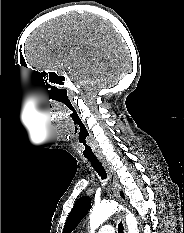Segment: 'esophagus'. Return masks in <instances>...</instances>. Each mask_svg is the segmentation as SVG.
Here are the masks:
<instances>
[{"label": "esophagus", "mask_w": 184, "mask_h": 233, "mask_svg": "<svg viewBox=\"0 0 184 233\" xmlns=\"http://www.w3.org/2000/svg\"><path fill=\"white\" fill-rule=\"evenodd\" d=\"M99 159L108 173L109 180H110V191H111L112 196L122 202L123 200L119 197L118 179H117L115 170L113 169L111 163L107 161L105 158L100 157ZM122 220H123V225H124V233H126L127 226L125 224L124 215H122Z\"/></svg>", "instance_id": "34e87169"}]
</instances>
